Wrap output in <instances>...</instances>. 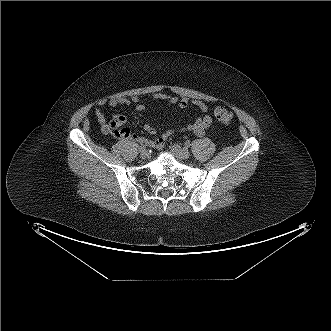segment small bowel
I'll use <instances>...</instances> for the list:
<instances>
[{
  "label": "small bowel",
  "instance_id": "c3829d8e",
  "mask_svg": "<svg viewBox=\"0 0 331 331\" xmlns=\"http://www.w3.org/2000/svg\"><path fill=\"white\" fill-rule=\"evenodd\" d=\"M153 100L166 102L168 105L177 106L179 108H186L189 105H193L199 112L205 113L208 110L207 105L199 100H191L189 98H178L176 96L168 95L166 93H155L152 96ZM134 105L137 111H145L148 107L144 104L143 98L139 95H134L131 98L125 97H113L108 100L101 99L97 103L96 116L97 121L101 125L102 131L105 134H109L115 138H121L126 140H132L137 143H143L154 148H161L167 139L175 133L179 132H190L198 136L205 134L207 129L212 123V119L209 115L198 117L193 123L186 126L171 128L162 133L155 141H149L140 135L134 134L129 128L124 127L126 123V117L122 114H115L112 116L110 121L107 120V116L103 112L102 108L105 106L110 107H121ZM144 131L148 134H155L156 130L149 124L144 125Z\"/></svg>",
  "mask_w": 331,
  "mask_h": 331
}]
</instances>
